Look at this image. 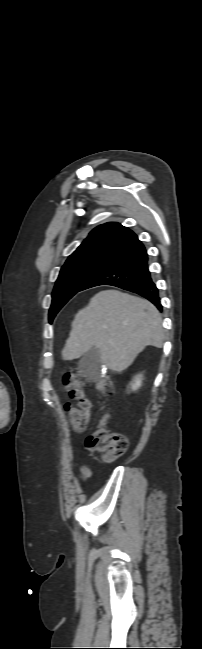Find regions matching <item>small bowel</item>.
Segmentation results:
<instances>
[{
	"label": "small bowel",
	"instance_id": "c3829d8e",
	"mask_svg": "<svg viewBox=\"0 0 202 649\" xmlns=\"http://www.w3.org/2000/svg\"><path fill=\"white\" fill-rule=\"evenodd\" d=\"M78 479L83 483H88L92 477L91 469L86 465H78Z\"/></svg>",
	"mask_w": 202,
	"mask_h": 649
}]
</instances>
